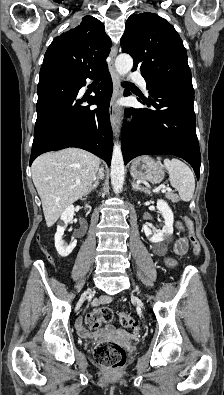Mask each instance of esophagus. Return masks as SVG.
Wrapping results in <instances>:
<instances>
[{"mask_svg":"<svg viewBox=\"0 0 224 395\" xmlns=\"http://www.w3.org/2000/svg\"><path fill=\"white\" fill-rule=\"evenodd\" d=\"M117 52H118V48L117 46L114 45L111 48L109 55L110 56L109 72L113 82V94L110 100L109 115H110V122L115 135H118L120 132V117H119L118 108L116 106V100L121 95L120 82L115 69V58L117 56Z\"/></svg>","mask_w":224,"mask_h":395,"instance_id":"esophagus-1","label":"esophagus"}]
</instances>
